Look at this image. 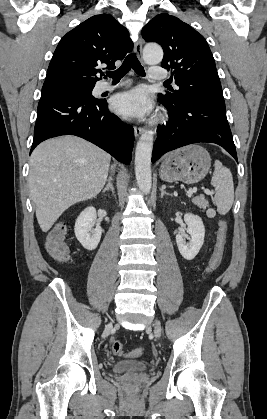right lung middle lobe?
I'll list each match as a JSON object with an SVG mask.
<instances>
[{"label":"right lung middle lobe","instance_id":"1","mask_svg":"<svg viewBox=\"0 0 267 419\" xmlns=\"http://www.w3.org/2000/svg\"><path fill=\"white\" fill-rule=\"evenodd\" d=\"M93 88H94L93 86L85 87V86H78V85H66V86H63L61 89H64L69 92L82 94L85 97H87L89 100L95 101L97 99L91 95Z\"/></svg>","mask_w":267,"mask_h":419}]
</instances>
